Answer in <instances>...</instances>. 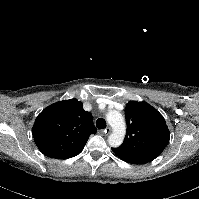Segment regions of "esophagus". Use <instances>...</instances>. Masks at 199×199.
Returning <instances> with one entry per match:
<instances>
[{
  "mask_svg": "<svg viewBox=\"0 0 199 199\" xmlns=\"http://www.w3.org/2000/svg\"><path fill=\"white\" fill-rule=\"evenodd\" d=\"M111 128L110 127H107L106 129H104V131H103V133L105 134V135H109L110 133H111Z\"/></svg>",
  "mask_w": 199,
  "mask_h": 199,
  "instance_id": "esophagus-1",
  "label": "esophagus"
}]
</instances>
